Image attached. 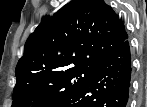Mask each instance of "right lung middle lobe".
Instances as JSON below:
<instances>
[{"label":"right lung middle lobe","instance_id":"dd1d6c3e","mask_svg":"<svg viewBox=\"0 0 147 107\" xmlns=\"http://www.w3.org/2000/svg\"><path fill=\"white\" fill-rule=\"evenodd\" d=\"M95 69L74 65L55 71L16 74L12 107H57L81 88Z\"/></svg>","mask_w":147,"mask_h":107}]
</instances>
